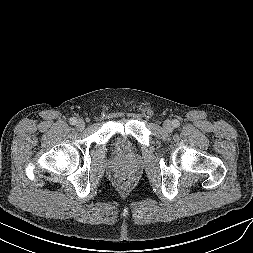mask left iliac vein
<instances>
[{"label":"left iliac vein","mask_w":253,"mask_h":253,"mask_svg":"<svg viewBox=\"0 0 253 253\" xmlns=\"http://www.w3.org/2000/svg\"><path fill=\"white\" fill-rule=\"evenodd\" d=\"M163 128L166 132H172L174 127L171 121L166 120L163 123Z\"/></svg>","instance_id":"1"}]
</instances>
